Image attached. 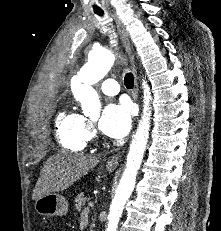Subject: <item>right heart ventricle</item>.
Wrapping results in <instances>:
<instances>
[{"label": "right heart ventricle", "instance_id": "e07e8e85", "mask_svg": "<svg viewBox=\"0 0 221 231\" xmlns=\"http://www.w3.org/2000/svg\"><path fill=\"white\" fill-rule=\"evenodd\" d=\"M87 121L73 110L61 112L56 121L57 139L59 144L71 151H82L88 141Z\"/></svg>", "mask_w": 221, "mask_h": 231}]
</instances>
